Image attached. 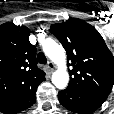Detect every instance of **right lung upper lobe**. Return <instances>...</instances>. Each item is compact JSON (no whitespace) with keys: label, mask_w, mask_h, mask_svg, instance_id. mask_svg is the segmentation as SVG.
Masks as SVG:
<instances>
[{"label":"right lung upper lobe","mask_w":114,"mask_h":114,"mask_svg":"<svg viewBox=\"0 0 114 114\" xmlns=\"http://www.w3.org/2000/svg\"><path fill=\"white\" fill-rule=\"evenodd\" d=\"M30 31L12 22L0 25V102L34 88L45 80L37 67L36 47L29 42Z\"/></svg>","instance_id":"right-lung-upper-lobe-1"}]
</instances>
